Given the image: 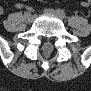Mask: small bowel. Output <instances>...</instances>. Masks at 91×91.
<instances>
[{
	"instance_id": "small-bowel-1",
	"label": "small bowel",
	"mask_w": 91,
	"mask_h": 91,
	"mask_svg": "<svg viewBox=\"0 0 91 91\" xmlns=\"http://www.w3.org/2000/svg\"><path fill=\"white\" fill-rule=\"evenodd\" d=\"M83 6H84V7L88 6V3H84Z\"/></svg>"
}]
</instances>
